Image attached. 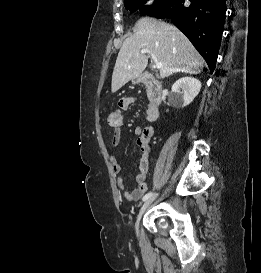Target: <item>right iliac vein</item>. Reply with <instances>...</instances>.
I'll use <instances>...</instances> for the list:
<instances>
[{"label": "right iliac vein", "instance_id": "63e3f726", "mask_svg": "<svg viewBox=\"0 0 261 273\" xmlns=\"http://www.w3.org/2000/svg\"><path fill=\"white\" fill-rule=\"evenodd\" d=\"M156 196L151 197L150 199L146 200V202L143 203V205L141 206L137 218H136V222H135V229L136 231H138V227H139V221L143 215V213L147 210V208L151 205V203L155 200Z\"/></svg>", "mask_w": 261, "mask_h": 273}]
</instances>
